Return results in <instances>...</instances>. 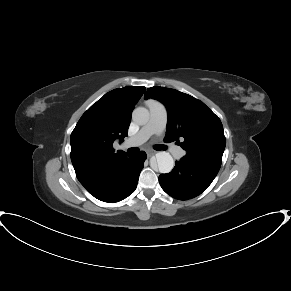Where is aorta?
<instances>
[{
  "instance_id": "1",
  "label": "aorta",
  "mask_w": 291,
  "mask_h": 291,
  "mask_svg": "<svg viewBox=\"0 0 291 291\" xmlns=\"http://www.w3.org/2000/svg\"><path fill=\"white\" fill-rule=\"evenodd\" d=\"M132 120L138 125H145L149 120V111L144 107L135 108L132 113ZM156 161L160 173H169L174 167V160L168 152H158Z\"/></svg>"
}]
</instances>
